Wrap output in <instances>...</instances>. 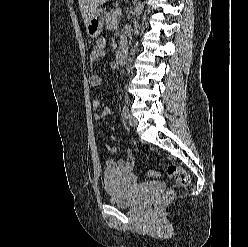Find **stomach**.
I'll list each match as a JSON object with an SVG mask.
<instances>
[{
	"label": "stomach",
	"mask_w": 248,
	"mask_h": 247,
	"mask_svg": "<svg viewBox=\"0 0 248 247\" xmlns=\"http://www.w3.org/2000/svg\"><path fill=\"white\" fill-rule=\"evenodd\" d=\"M103 24L104 12L102 10H98L85 24L88 36L91 38L98 37L103 30Z\"/></svg>",
	"instance_id": "obj_1"
}]
</instances>
